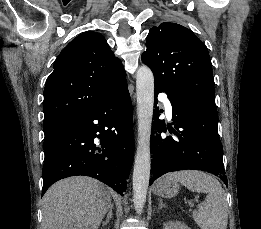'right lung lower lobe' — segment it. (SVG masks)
Wrapping results in <instances>:
<instances>
[{
    "label": "right lung lower lobe",
    "instance_id": "right-lung-lower-lobe-1",
    "mask_svg": "<svg viewBox=\"0 0 261 229\" xmlns=\"http://www.w3.org/2000/svg\"><path fill=\"white\" fill-rule=\"evenodd\" d=\"M43 146L42 195L56 181L76 175L96 178L123 195L134 153L127 84L87 115L44 139Z\"/></svg>",
    "mask_w": 261,
    "mask_h": 229
}]
</instances>
